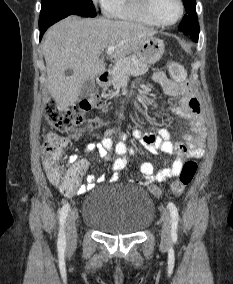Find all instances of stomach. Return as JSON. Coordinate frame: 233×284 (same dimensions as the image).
<instances>
[{
  "label": "stomach",
  "instance_id": "0dacf381",
  "mask_svg": "<svg viewBox=\"0 0 233 284\" xmlns=\"http://www.w3.org/2000/svg\"><path fill=\"white\" fill-rule=\"evenodd\" d=\"M164 51V42L156 37H150L136 51V55L143 63L154 64L161 59Z\"/></svg>",
  "mask_w": 233,
  "mask_h": 284
}]
</instances>
